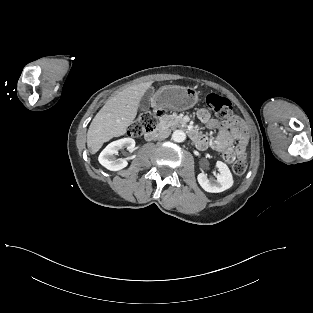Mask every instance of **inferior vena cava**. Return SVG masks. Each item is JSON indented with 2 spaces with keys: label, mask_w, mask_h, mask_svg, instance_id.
Listing matches in <instances>:
<instances>
[{
  "label": "inferior vena cava",
  "mask_w": 313,
  "mask_h": 313,
  "mask_svg": "<svg viewBox=\"0 0 313 313\" xmlns=\"http://www.w3.org/2000/svg\"><path fill=\"white\" fill-rule=\"evenodd\" d=\"M170 135V130H163L159 134L156 135L157 140H162L167 138Z\"/></svg>",
  "instance_id": "inferior-vena-cava-1"
}]
</instances>
